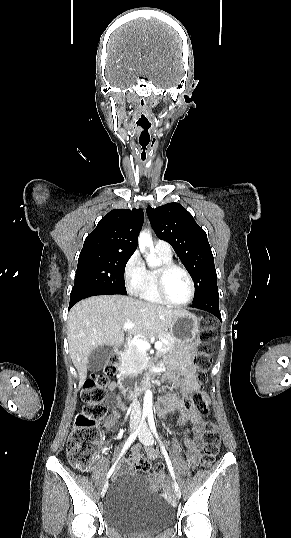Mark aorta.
<instances>
[{"instance_id": "obj_1", "label": "aorta", "mask_w": 291, "mask_h": 538, "mask_svg": "<svg viewBox=\"0 0 291 538\" xmlns=\"http://www.w3.org/2000/svg\"><path fill=\"white\" fill-rule=\"evenodd\" d=\"M150 243H151V237L148 234L141 232L138 239V246H139L140 251L144 252L146 246H148ZM147 263L150 266L156 265L157 260L155 256L148 255ZM143 412L145 414L152 413V391L150 389H147L144 395Z\"/></svg>"}]
</instances>
